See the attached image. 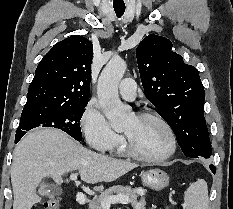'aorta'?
<instances>
[{
	"label": "aorta",
	"instance_id": "1",
	"mask_svg": "<svg viewBox=\"0 0 233 209\" xmlns=\"http://www.w3.org/2000/svg\"><path fill=\"white\" fill-rule=\"evenodd\" d=\"M126 68L124 60L111 59L101 72L97 85L101 108L116 131L122 130L132 117L131 109L121 103L118 95V85Z\"/></svg>",
	"mask_w": 233,
	"mask_h": 209
}]
</instances>
